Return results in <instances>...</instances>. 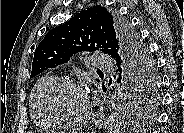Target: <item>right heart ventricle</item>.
<instances>
[{
    "instance_id": "right-heart-ventricle-1",
    "label": "right heart ventricle",
    "mask_w": 184,
    "mask_h": 133,
    "mask_svg": "<svg viewBox=\"0 0 184 133\" xmlns=\"http://www.w3.org/2000/svg\"><path fill=\"white\" fill-rule=\"evenodd\" d=\"M54 74H47L40 78L33 88L30 100L31 113L34 120L41 126L52 127L55 125L45 108V97L48 90L59 81Z\"/></svg>"
}]
</instances>
